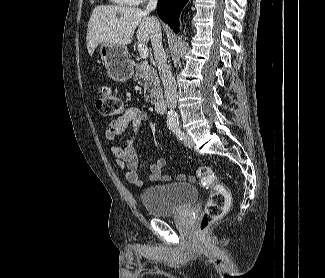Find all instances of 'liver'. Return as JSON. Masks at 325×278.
Returning <instances> with one entry per match:
<instances>
[{
	"label": "liver",
	"instance_id": "liver-1",
	"mask_svg": "<svg viewBox=\"0 0 325 278\" xmlns=\"http://www.w3.org/2000/svg\"><path fill=\"white\" fill-rule=\"evenodd\" d=\"M137 27V39L148 42L152 29V17H149V13L136 7L96 6L88 22V53L93 55L96 47L103 43L122 46L131 43Z\"/></svg>",
	"mask_w": 325,
	"mask_h": 278
}]
</instances>
